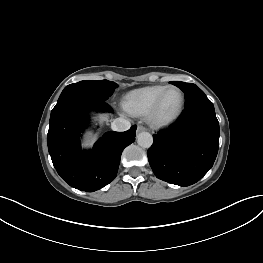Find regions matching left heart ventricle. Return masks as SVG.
<instances>
[{"label":"left heart ventricle","mask_w":263,"mask_h":263,"mask_svg":"<svg viewBox=\"0 0 263 263\" xmlns=\"http://www.w3.org/2000/svg\"><path fill=\"white\" fill-rule=\"evenodd\" d=\"M181 103V95L177 90H171L165 96L160 111L159 117L160 118H167L174 114Z\"/></svg>","instance_id":"left-heart-ventricle-1"}]
</instances>
